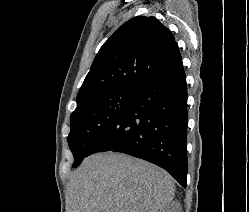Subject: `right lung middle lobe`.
I'll return each mask as SVG.
<instances>
[{
    "label": "right lung middle lobe",
    "instance_id": "right-lung-middle-lobe-1",
    "mask_svg": "<svg viewBox=\"0 0 249 212\" xmlns=\"http://www.w3.org/2000/svg\"><path fill=\"white\" fill-rule=\"evenodd\" d=\"M136 94L135 91L110 92L77 105L70 117L71 131L68 137L74 168L89 156L96 140L129 106Z\"/></svg>",
    "mask_w": 249,
    "mask_h": 212
}]
</instances>
